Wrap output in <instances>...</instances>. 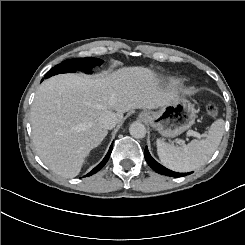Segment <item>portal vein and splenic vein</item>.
Instances as JSON below:
<instances>
[{
	"mask_svg": "<svg viewBox=\"0 0 245 245\" xmlns=\"http://www.w3.org/2000/svg\"><path fill=\"white\" fill-rule=\"evenodd\" d=\"M187 135H188V136H194V137H197V138H201V137L204 136V134L201 135L200 133H198V132H196V131H193V130H189V131L187 132Z\"/></svg>",
	"mask_w": 245,
	"mask_h": 245,
	"instance_id": "18ae733b",
	"label": "portal vein and splenic vein"
}]
</instances>
